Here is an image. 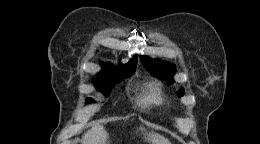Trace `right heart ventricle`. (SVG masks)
<instances>
[{
    "mask_svg": "<svg viewBox=\"0 0 260 144\" xmlns=\"http://www.w3.org/2000/svg\"><path fill=\"white\" fill-rule=\"evenodd\" d=\"M140 103L147 106L151 104H161L162 96L157 85L150 84L141 97Z\"/></svg>",
    "mask_w": 260,
    "mask_h": 144,
    "instance_id": "right-heart-ventricle-1",
    "label": "right heart ventricle"
}]
</instances>
